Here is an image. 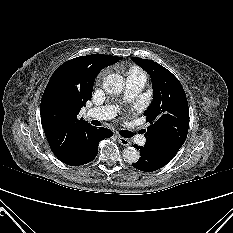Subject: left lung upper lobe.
Returning a JSON list of instances; mask_svg holds the SVG:
<instances>
[{
  "label": "left lung upper lobe",
  "instance_id": "5c2ea615",
  "mask_svg": "<svg viewBox=\"0 0 233 233\" xmlns=\"http://www.w3.org/2000/svg\"><path fill=\"white\" fill-rule=\"evenodd\" d=\"M132 60L149 75L153 85V101L144 112L150 126L145 132V145L172 159L186 140L189 108L179 80L153 60Z\"/></svg>",
  "mask_w": 233,
  "mask_h": 233
}]
</instances>
